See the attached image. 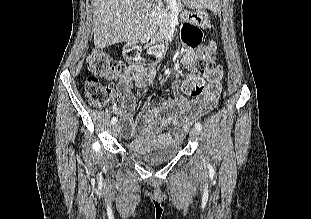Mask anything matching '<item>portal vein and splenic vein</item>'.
Wrapping results in <instances>:
<instances>
[{
    "mask_svg": "<svg viewBox=\"0 0 311 219\" xmlns=\"http://www.w3.org/2000/svg\"><path fill=\"white\" fill-rule=\"evenodd\" d=\"M166 1L169 2L173 8H178L176 0H166Z\"/></svg>",
    "mask_w": 311,
    "mask_h": 219,
    "instance_id": "obj_1",
    "label": "portal vein and splenic vein"
}]
</instances>
